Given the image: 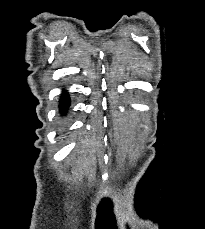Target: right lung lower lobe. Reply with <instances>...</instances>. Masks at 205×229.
<instances>
[{
  "label": "right lung lower lobe",
  "mask_w": 205,
  "mask_h": 229,
  "mask_svg": "<svg viewBox=\"0 0 205 229\" xmlns=\"http://www.w3.org/2000/svg\"><path fill=\"white\" fill-rule=\"evenodd\" d=\"M69 104H70V100L68 94L64 93L60 99V105H59L61 112L65 113L68 109Z\"/></svg>",
  "instance_id": "1"
}]
</instances>
